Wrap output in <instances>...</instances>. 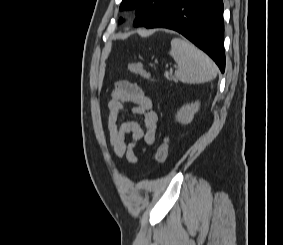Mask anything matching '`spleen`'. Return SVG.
Here are the masks:
<instances>
[{"instance_id": "3e777b00", "label": "spleen", "mask_w": 283, "mask_h": 245, "mask_svg": "<svg viewBox=\"0 0 283 245\" xmlns=\"http://www.w3.org/2000/svg\"><path fill=\"white\" fill-rule=\"evenodd\" d=\"M170 55L178 64L175 76L183 83H204L217 76L215 63L186 40L172 39Z\"/></svg>"}]
</instances>
